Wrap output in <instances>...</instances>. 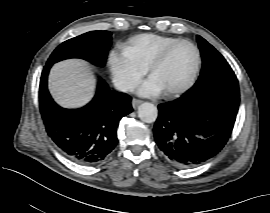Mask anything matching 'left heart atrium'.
<instances>
[{"label":"left heart atrium","instance_id":"left-heart-atrium-1","mask_svg":"<svg viewBox=\"0 0 270 213\" xmlns=\"http://www.w3.org/2000/svg\"><path fill=\"white\" fill-rule=\"evenodd\" d=\"M161 92L160 86L152 78L145 82L139 89V93L147 97L157 96Z\"/></svg>","mask_w":270,"mask_h":213}]
</instances>
